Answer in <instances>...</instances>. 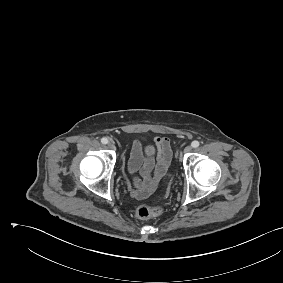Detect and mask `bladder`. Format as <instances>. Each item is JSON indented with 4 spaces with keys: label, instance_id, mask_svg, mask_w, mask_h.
Segmentation results:
<instances>
[{
    "label": "bladder",
    "instance_id": "obj_1",
    "mask_svg": "<svg viewBox=\"0 0 283 283\" xmlns=\"http://www.w3.org/2000/svg\"><path fill=\"white\" fill-rule=\"evenodd\" d=\"M149 152L153 154V149H152V148H149Z\"/></svg>",
    "mask_w": 283,
    "mask_h": 283
}]
</instances>
